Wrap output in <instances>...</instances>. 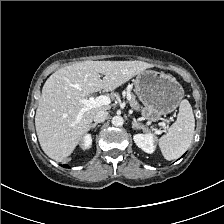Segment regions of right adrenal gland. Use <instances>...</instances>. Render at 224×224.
<instances>
[{"mask_svg":"<svg viewBox=\"0 0 224 224\" xmlns=\"http://www.w3.org/2000/svg\"><path fill=\"white\" fill-rule=\"evenodd\" d=\"M97 125H98V123H93V124H91L90 127H89V130H90V129H94Z\"/></svg>","mask_w":224,"mask_h":224,"instance_id":"obj_1","label":"right adrenal gland"}]
</instances>
